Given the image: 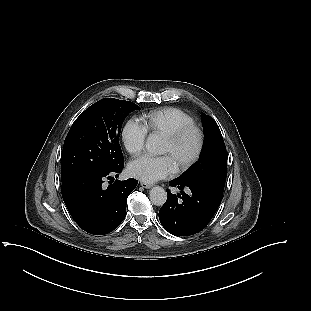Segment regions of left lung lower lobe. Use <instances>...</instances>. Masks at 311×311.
<instances>
[{"label": "left lung lower lobe", "instance_id": "obj_1", "mask_svg": "<svg viewBox=\"0 0 311 311\" xmlns=\"http://www.w3.org/2000/svg\"><path fill=\"white\" fill-rule=\"evenodd\" d=\"M171 185L180 190L187 187L189 194H172L167 190V201L159 211V220L169 233L189 236L204 229L218 209L223 192L204 183L172 180ZM182 195V196H181Z\"/></svg>", "mask_w": 311, "mask_h": 311}]
</instances>
